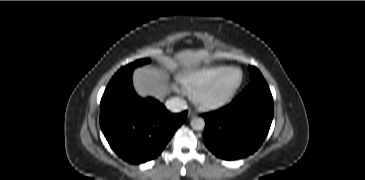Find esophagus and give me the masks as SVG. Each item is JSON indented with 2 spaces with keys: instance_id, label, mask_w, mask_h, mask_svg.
I'll return each mask as SVG.
<instances>
[{
  "instance_id": "34e87169",
  "label": "esophagus",
  "mask_w": 365,
  "mask_h": 180,
  "mask_svg": "<svg viewBox=\"0 0 365 180\" xmlns=\"http://www.w3.org/2000/svg\"><path fill=\"white\" fill-rule=\"evenodd\" d=\"M187 116L188 118H193L194 116H196V113L193 110H189Z\"/></svg>"
}]
</instances>
